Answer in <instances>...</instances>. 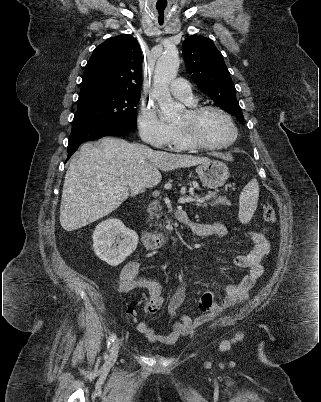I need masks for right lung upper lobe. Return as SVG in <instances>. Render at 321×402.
Instances as JSON below:
<instances>
[{
	"mask_svg": "<svg viewBox=\"0 0 321 402\" xmlns=\"http://www.w3.org/2000/svg\"><path fill=\"white\" fill-rule=\"evenodd\" d=\"M142 53L128 34L109 38L97 46L82 77L81 88H104L140 95Z\"/></svg>",
	"mask_w": 321,
	"mask_h": 402,
	"instance_id": "obj_1",
	"label": "right lung upper lobe"
}]
</instances>
